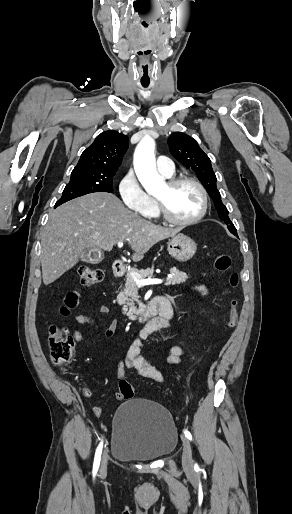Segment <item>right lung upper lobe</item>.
Instances as JSON below:
<instances>
[{
  "label": "right lung upper lobe",
  "instance_id": "cb5924a9",
  "mask_svg": "<svg viewBox=\"0 0 292 514\" xmlns=\"http://www.w3.org/2000/svg\"><path fill=\"white\" fill-rule=\"evenodd\" d=\"M128 148V137L105 131L81 154L71 174L114 176Z\"/></svg>",
  "mask_w": 292,
  "mask_h": 514
}]
</instances>
